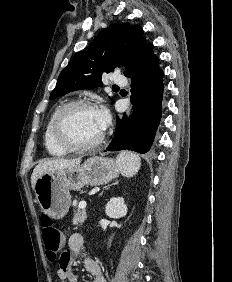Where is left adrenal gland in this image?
<instances>
[{
    "label": "left adrenal gland",
    "mask_w": 232,
    "mask_h": 282,
    "mask_svg": "<svg viewBox=\"0 0 232 282\" xmlns=\"http://www.w3.org/2000/svg\"><path fill=\"white\" fill-rule=\"evenodd\" d=\"M117 184H118V181L115 182V183H113L112 185H117ZM112 185L107 186L105 189H106V190L109 189V187L112 186Z\"/></svg>",
    "instance_id": "left-adrenal-gland-1"
}]
</instances>
